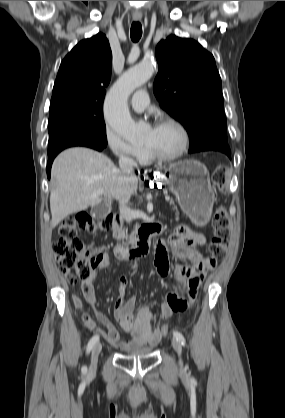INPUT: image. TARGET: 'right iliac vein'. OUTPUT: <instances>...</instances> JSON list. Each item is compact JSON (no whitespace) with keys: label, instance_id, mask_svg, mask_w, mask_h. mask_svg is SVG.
I'll return each mask as SVG.
<instances>
[{"label":"right iliac vein","instance_id":"1","mask_svg":"<svg viewBox=\"0 0 285 418\" xmlns=\"http://www.w3.org/2000/svg\"><path fill=\"white\" fill-rule=\"evenodd\" d=\"M101 350H102L101 343H97L93 347L92 352H91V363H90V367H89V370H88L89 374H91L95 371L96 366H97L98 357H99V354H100Z\"/></svg>","mask_w":285,"mask_h":418}]
</instances>
